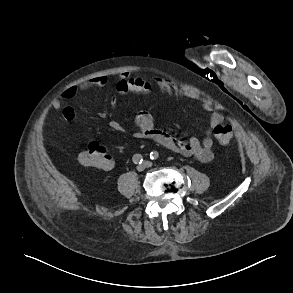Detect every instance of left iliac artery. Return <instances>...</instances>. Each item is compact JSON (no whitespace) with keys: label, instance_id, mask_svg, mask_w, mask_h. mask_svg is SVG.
<instances>
[{"label":"left iliac artery","instance_id":"1","mask_svg":"<svg viewBox=\"0 0 293 293\" xmlns=\"http://www.w3.org/2000/svg\"><path fill=\"white\" fill-rule=\"evenodd\" d=\"M150 159H152V160H158L159 159V153L157 151H152L150 153Z\"/></svg>","mask_w":293,"mask_h":293}]
</instances>
